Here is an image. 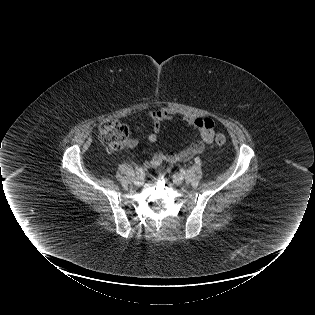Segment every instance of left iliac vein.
Returning a JSON list of instances; mask_svg holds the SVG:
<instances>
[{
	"label": "left iliac vein",
	"mask_w": 315,
	"mask_h": 315,
	"mask_svg": "<svg viewBox=\"0 0 315 315\" xmlns=\"http://www.w3.org/2000/svg\"><path fill=\"white\" fill-rule=\"evenodd\" d=\"M173 182L177 185L182 184L184 182V177L181 174H175L173 176Z\"/></svg>",
	"instance_id": "4c4485c4"
}]
</instances>
